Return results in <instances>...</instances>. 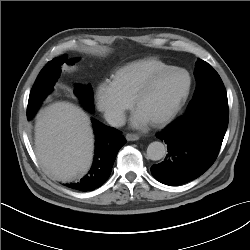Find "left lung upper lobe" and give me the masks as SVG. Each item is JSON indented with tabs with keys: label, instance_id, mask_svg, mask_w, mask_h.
<instances>
[{
	"label": "left lung upper lobe",
	"instance_id": "5c2ea615",
	"mask_svg": "<svg viewBox=\"0 0 250 250\" xmlns=\"http://www.w3.org/2000/svg\"><path fill=\"white\" fill-rule=\"evenodd\" d=\"M194 75L196 78V89L189 106L208 93L224 89V84L218 73L207 62L201 59L195 64Z\"/></svg>",
	"mask_w": 250,
	"mask_h": 250
}]
</instances>
